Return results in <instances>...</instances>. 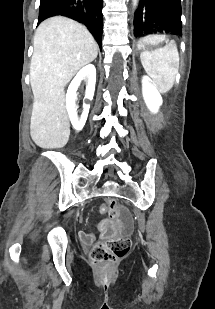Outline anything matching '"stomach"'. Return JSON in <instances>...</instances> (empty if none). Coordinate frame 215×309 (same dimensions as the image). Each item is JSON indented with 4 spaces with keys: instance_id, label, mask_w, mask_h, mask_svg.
Segmentation results:
<instances>
[{
    "instance_id": "stomach-1",
    "label": "stomach",
    "mask_w": 215,
    "mask_h": 309,
    "mask_svg": "<svg viewBox=\"0 0 215 309\" xmlns=\"http://www.w3.org/2000/svg\"><path fill=\"white\" fill-rule=\"evenodd\" d=\"M163 43H166L167 45H173L168 39L166 35L162 34H153L146 37L141 38L137 43L138 50H150L152 48H156Z\"/></svg>"
}]
</instances>
